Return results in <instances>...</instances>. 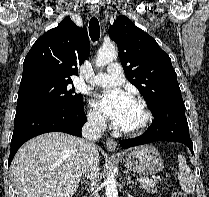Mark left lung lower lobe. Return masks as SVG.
Masks as SVG:
<instances>
[{
    "label": "left lung lower lobe",
    "instance_id": "left-lung-lower-lobe-1",
    "mask_svg": "<svg viewBox=\"0 0 209 197\" xmlns=\"http://www.w3.org/2000/svg\"><path fill=\"white\" fill-rule=\"evenodd\" d=\"M153 115L154 122L143 135L120 141L123 149L154 141H170L185 144L193 154L184 104L162 106Z\"/></svg>",
    "mask_w": 209,
    "mask_h": 197
}]
</instances>
